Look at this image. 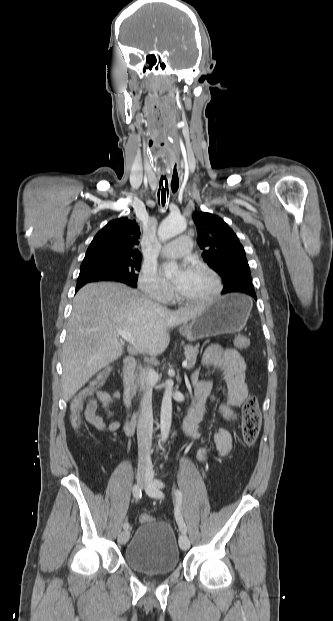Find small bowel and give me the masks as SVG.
Instances as JSON below:
<instances>
[{
	"mask_svg": "<svg viewBox=\"0 0 333 621\" xmlns=\"http://www.w3.org/2000/svg\"><path fill=\"white\" fill-rule=\"evenodd\" d=\"M201 363L204 367L215 368L216 376L225 380L228 388V399L227 403L222 406L221 413L227 421H235L236 414L233 407L240 406L248 396L246 363L243 357L234 349L211 346L204 352ZM197 375V371L192 375L195 406L190 411L183 426L184 433L189 438L195 437V423L200 418L203 404L211 394L214 385L213 377L198 380ZM119 398L118 392L111 394L103 390L97 391L95 397L89 396L84 410L86 422L101 432L116 431L120 423L114 418L110 406L114 399ZM98 401L109 419L108 424L97 414ZM215 443L221 456L228 455L232 449L231 433L227 430L219 431L215 436ZM196 457L201 463L206 460L205 452L201 448H197Z\"/></svg>",
	"mask_w": 333,
	"mask_h": 621,
	"instance_id": "obj_1",
	"label": "small bowel"
}]
</instances>
